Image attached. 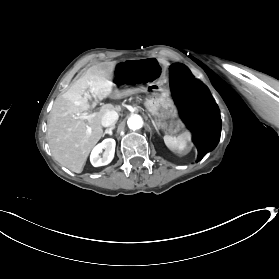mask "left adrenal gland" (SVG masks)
Returning a JSON list of instances; mask_svg holds the SVG:
<instances>
[{"label": "left adrenal gland", "mask_w": 279, "mask_h": 279, "mask_svg": "<svg viewBox=\"0 0 279 279\" xmlns=\"http://www.w3.org/2000/svg\"><path fill=\"white\" fill-rule=\"evenodd\" d=\"M149 118L151 119V121H153L152 117L149 115ZM156 131L158 132L157 127H155Z\"/></svg>", "instance_id": "a2214340"}]
</instances>
